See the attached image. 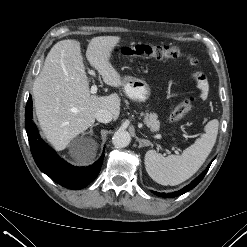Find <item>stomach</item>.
I'll list each match as a JSON object with an SVG mask.
<instances>
[{
  "label": "stomach",
  "instance_id": "1",
  "mask_svg": "<svg viewBox=\"0 0 247 247\" xmlns=\"http://www.w3.org/2000/svg\"><path fill=\"white\" fill-rule=\"evenodd\" d=\"M124 93L133 101L145 102L151 95L150 85L142 80L132 76L123 78Z\"/></svg>",
  "mask_w": 247,
  "mask_h": 247
}]
</instances>
